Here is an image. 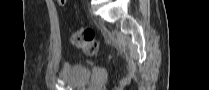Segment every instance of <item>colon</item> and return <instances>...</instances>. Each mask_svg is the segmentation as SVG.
Returning <instances> with one entry per match:
<instances>
[{
	"label": "colon",
	"instance_id": "obj_1",
	"mask_svg": "<svg viewBox=\"0 0 209 90\" xmlns=\"http://www.w3.org/2000/svg\"><path fill=\"white\" fill-rule=\"evenodd\" d=\"M65 2V0H61L62 5ZM71 42L87 55H93L98 51V40L96 38L95 32L90 28L76 29L71 36Z\"/></svg>",
	"mask_w": 209,
	"mask_h": 90
}]
</instances>
